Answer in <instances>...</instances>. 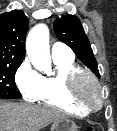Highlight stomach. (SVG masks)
Returning a JSON list of instances; mask_svg holds the SVG:
<instances>
[{"label": "stomach", "instance_id": "obj_1", "mask_svg": "<svg viewBox=\"0 0 117 131\" xmlns=\"http://www.w3.org/2000/svg\"><path fill=\"white\" fill-rule=\"evenodd\" d=\"M78 127L75 122L63 118L52 123L51 131H77Z\"/></svg>", "mask_w": 117, "mask_h": 131}]
</instances>
